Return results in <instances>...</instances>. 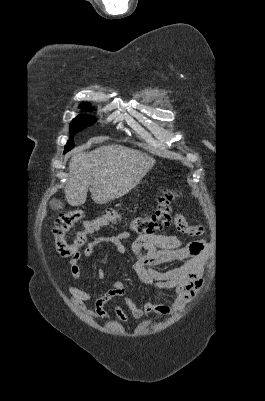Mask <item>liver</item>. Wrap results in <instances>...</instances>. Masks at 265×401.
Listing matches in <instances>:
<instances>
[{
  "instance_id": "liver-1",
  "label": "liver",
  "mask_w": 265,
  "mask_h": 401,
  "mask_svg": "<svg viewBox=\"0 0 265 401\" xmlns=\"http://www.w3.org/2000/svg\"><path fill=\"white\" fill-rule=\"evenodd\" d=\"M90 144L78 146L69 162L64 194L72 207L84 205L90 184L96 205H105L113 198H120L139 184L154 166L155 158L142 150L122 144H103L86 152L85 148H89Z\"/></svg>"
}]
</instances>
